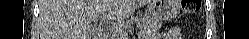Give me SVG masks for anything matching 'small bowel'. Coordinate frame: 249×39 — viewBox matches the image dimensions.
<instances>
[{
  "label": "small bowel",
  "instance_id": "c3829d8e",
  "mask_svg": "<svg viewBox=\"0 0 249 39\" xmlns=\"http://www.w3.org/2000/svg\"><path fill=\"white\" fill-rule=\"evenodd\" d=\"M179 33L180 32L178 29L171 28V29L165 31L163 35H164V37L171 39V38L177 37L179 35Z\"/></svg>",
  "mask_w": 249,
  "mask_h": 39
}]
</instances>
